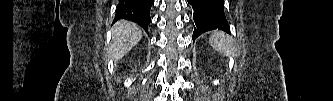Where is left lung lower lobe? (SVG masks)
Masks as SVG:
<instances>
[{
    "label": "left lung lower lobe",
    "mask_w": 333,
    "mask_h": 101,
    "mask_svg": "<svg viewBox=\"0 0 333 101\" xmlns=\"http://www.w3.org/2000/svg\"><path fill=\"white\" fill-rule=\"evenodd\" d=\"M188 3L194 10L193 42L200 34L213 29L230 33L224 14V0H188Z\"/></svg>",
    "instance_id": "left-lung-lower-lobe-1"
}]
</instances>
